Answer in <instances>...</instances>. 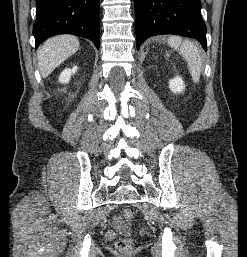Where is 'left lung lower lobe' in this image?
<instances>
[{
  "instance_id": "left-lung-lower-lobe-1",
  "label": "left lung lower lobe",
  "mask_w": 247,
  "mask_h": 257,
  "mask_svg": "<svg viewBox=\"0 0 247 257\" xmlns=\"http://www.w3.org/2000/svg\"><path fill=\"white\" fill-rule=\"evenodd\" d=\"M136 46L149 37L176 34L197 39L207 51L200 0H134Z\"/></svg>"
}]
</instances>
